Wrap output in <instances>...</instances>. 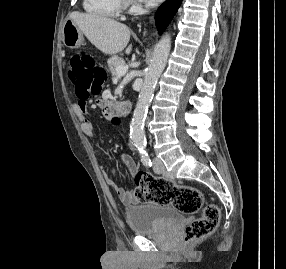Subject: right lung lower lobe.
Here are the masks:
<instances>
[{"label": "right lung lower lobe", "instance_id": "1", "mask_svg": "<svg viewBox=\"0 0 286 269\" xmlns=\"http://www.w3.org/2000/svg\"><path fill=\"white\" fill-rule=\"evenodd\" d=\"M181 2L182 0H167L158 9L156 14V25L160 33L163 32V30L170 23Z\"/></svg>", "mask_w": 286, "mask_h": 269}]
</instances>
